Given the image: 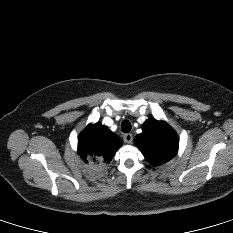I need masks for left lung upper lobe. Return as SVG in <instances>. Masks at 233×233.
<instances>
[{
  "instance_id": "1",
  "label": "left lung upper lobe",
  "mask_w": 233,
  "mask_h": 233,
  "mask_svg": "<svg viewBox=\"0 0 233 233\" xmlns=\"http://www.w3.org/2000/svg\"><path fill=\"white\" fill-rule=\"evenodd\" d=\"M142 129L135 143L150 164H164L176 155L178 138L167 123L150 118L145 121Z\"/></svg>"
}]
</instances>
